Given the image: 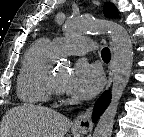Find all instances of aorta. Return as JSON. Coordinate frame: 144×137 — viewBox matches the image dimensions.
<instances>
[{
    "label": "aorta",
    "mask_w": 144,
    "mask_h": 137,
    "mask_svg": "<svg viewBox=\"0 0 144 137\" xmlns=\"http://www.w3.org/2000/svg\"><path fill=\"white\" fill-rule=\"evenodd\" d=\"M64 30L68 35L82 32L100 33L108 31L114 46V68L111 89V101L100 117L93 137H111L119 101L127 86L133 64V48L131 39L123 26L113 21L91 18H69Z\"/></svg>",
    "instance_id": "1"
}]
</instances>
